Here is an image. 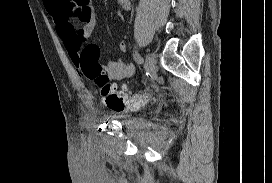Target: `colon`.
<instances>
[{
  "instance_id": "1",
  "label": "colon",
  "mask_w": 272,
  "mask_h": 183,
  "mask_svg": "<svg viewBox=\"0 0 272 183\" xmlns=\"http://www.w3.org/2000/svg\"><path fill=\"white\" fill-rule=\"evenodd\" d=\"M100 50L94 43H87L81 51L78 67L82 73L94 83L107 106L119 112L135 111L142 108L147 100L146 93L130 94L124 90H116L109 77L103 73L98 62Z\"/></svg>"
}]
</instances>
